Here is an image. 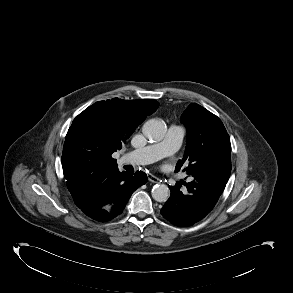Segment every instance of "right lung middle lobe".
Returning <instances> with one entry per match:
<instances>
[{"mask_svg":"<svg viewBox=\"0 0 293 293\" xmlns=\"http://www.w3.org/2000/svg\"><path fill=\"white\" fill-rule=\"evenodd\" d=\"M79 164L84 168H91L104 164V156L97 151H90L80 156Z\"/></svg>","mask_w":293,"mask_h":293,"instance_id":"dd1d6c3e","label":"right lung middle lobe"}]
</instances>
